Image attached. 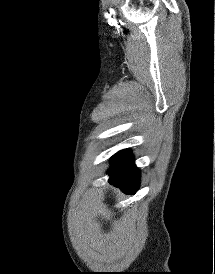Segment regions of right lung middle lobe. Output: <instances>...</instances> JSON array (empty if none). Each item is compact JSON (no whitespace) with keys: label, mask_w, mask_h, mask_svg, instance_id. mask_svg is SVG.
<instances>
[{"label":"right lung middle lobe","mask_w":215,"mask_h":274,"mask_svg":"<svg viewBox=\"0 0 215 274\" xmlns=\"http://www.w3.org/2000/svg\"><path fill=\"white\" fill-rule=\"evenodd\" d=\"M130 150L129 149H124L121 150L119 152H117L113 157H112V166L121 162L122 160H124L129 154H130Z\"/></svg>","instance_id":"dd1d6c3e"}]
</instances>
